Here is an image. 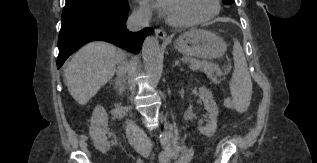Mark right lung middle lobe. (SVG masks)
<instances>
[{
	"mask_svg": "<svg viewBox=\"0 0 317 163\" xmlns=\"http://www.w3.org/2000/svg\"><path fill=\"white\" fill-rule=\"evenodd\" d=\"M127 5V0H66L62 13V23L84 17L96 11L113 10Z\"/></svg>",
	"mask_w": 317,
	"mask_h": 163,
	"instance_id": "dd1d6c3e",
	"label": "right lung middle lobe"
}]
</instances>
